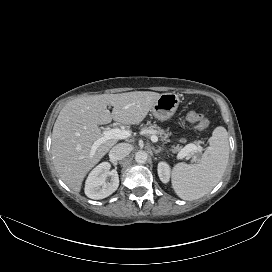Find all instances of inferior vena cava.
Returning a JSON list of instances; mask_svg holds the SVG:
<instances>
[{"label": "inferior vena cava", "mask_w": 272, "mask_h": 272, "mask_svg": "<svg viewBox=\"0 0 272 272\" xmlns=\"http://www.w3.org/2000/svg\"><path fill=\"white\" fill-rule=\"evenodd\" d=\"M131 150H132V146L130 144L119 143L110 150L109 157L111 161L122 160L123 158L129 155Z\"/></svg>", "instance_id": "obj_1"}]
</instances>
